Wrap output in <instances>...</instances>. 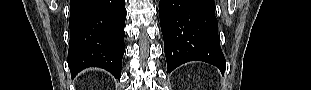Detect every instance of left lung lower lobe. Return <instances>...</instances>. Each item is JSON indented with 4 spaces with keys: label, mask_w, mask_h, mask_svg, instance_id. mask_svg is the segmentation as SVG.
<instances>
[{
    "label": "left lung lower lobe",
    "mask_w": 311,
    "mask_h": 90,
    "mask_svg": "<svg viewBox=\"0 0 311 90\" xmlns=\"http://www.w3.org/2000/svg\"><path fill=\"white\" fill-rule=\"evenodd\" d=\"M159 16L168 72L198 60L224 73L214 0H160Z\"/></svg>",
    "instance_id": "obj_1"
}]
</instances>
